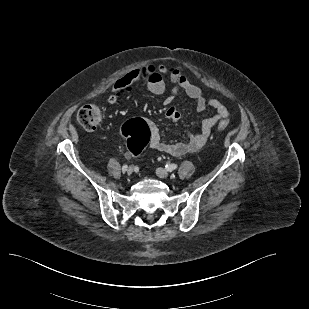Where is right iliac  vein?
<instances>
[{
	"label": "right iliac vein",
	"mask_w": 309,
	"mask_h": 309,
	"mask_svg": "<svg viewBox=\"0 0 309 309\" xmlns=\"http://www.w3.org/2000/svg\"><path fill=\"white\" fill-rule=\"evenodd\" d=\"M133 172H134V168L130 166V167L127 169V174H128V175H131Z\"/></svg>",
	"instance_id": "right-iliac-vein-1"
}]
</instances>
